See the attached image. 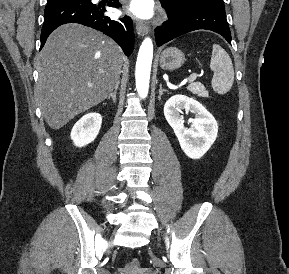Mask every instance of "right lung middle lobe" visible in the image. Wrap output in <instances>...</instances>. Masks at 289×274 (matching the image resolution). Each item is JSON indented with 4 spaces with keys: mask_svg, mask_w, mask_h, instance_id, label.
<instances>
[{
    "mask_svg": "<svg viewBox=\"0 0 289 274\" xmlns=\"http://www.w3.org/2000/svg\"><path fill=\"white\" fill-rule=\"evenodd\" d=\"M59 1H62V0H48V3L59 2Z\"/></svg>",
    "mask_w": 289,
    "mask_h": 274,
    "instance_id": "1",
    "label": "right lung middle lobe"
}]
</instances>
